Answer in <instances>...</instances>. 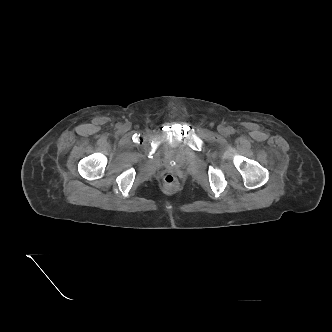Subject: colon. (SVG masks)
Here are the masks:
<instances>
[{"label":"colon","instance_id":"colon-1","mask_svg":"<svg viewBox=\"0 0 332 332\" xmlns=\"http://www.w3.org/2000/svg\"><path fill=\"white\" fill-rule=\"evenodd\" d=\"M163 185H164V188L166 190H168V191H174L178 187V180H177V178L174 175L167 174L163 178Z\"/></svg>","mask_w":332,"mask_h":332}]
</instances>
